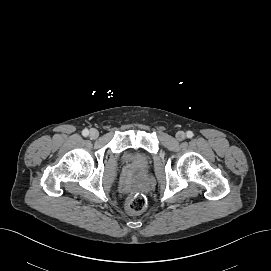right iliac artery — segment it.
Masks as SVG:
<instances>
[{"label": "right iliac artery", "instance_id": "1", "mask_svg": "<svg viewBox=\"0 0 271 271\" xmlns=\"http://www.w3.org/2000/svg\"><path fill=\"white\" fill-rule=\"evenodd\" d=\"M82 135L83 136H88L89 135V131H88V129H84L83 131H82Z\"/></svg>", "mask_w": 271, "mask_h": 271}]
</instances>
